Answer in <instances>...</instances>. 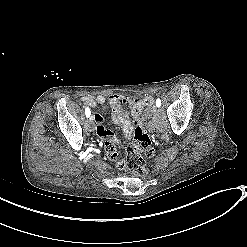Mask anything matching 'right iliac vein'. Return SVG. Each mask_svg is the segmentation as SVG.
I'll return each mask as SVG.
<instances>
[{
  "instance_id": "63e3f726",
  "label": "right iliac vein",
  "mask_w": 247,
  "mask_h": 247,
  "mask_svg": "<svg viewBox=\"0 0 247 247\" xmlns=\"http://www.w3.org/2000/svg\"><path fill=\"white\" fill-rule=\"evenodd\" d=\"M90 120H91V121L93 120V116L90 117Z\"/></svg>"
}]
</instances>
